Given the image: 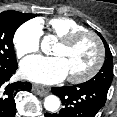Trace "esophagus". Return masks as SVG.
Here are the masks:
<instances>
[{"label": "esophagus", "instance_id": "34e87169", "mask_svg": "<svg viewBox=\"0 0 117 117\" xmlns=\"http://www.w3.org/2000/svg\"><path fill=\"white\" fill-rule=\"evenodd\" d=\"M32 89L40 96H45L49 93V90L46 87L39 86V85H33Z\"/></svg>", "mask_w": 117, "mask_h": 117}]
</instances>
